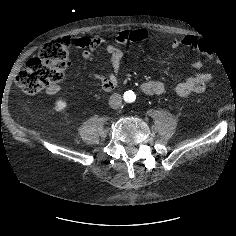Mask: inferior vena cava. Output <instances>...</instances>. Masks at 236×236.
I'll return each mask as SVG.
<instances>
[{
    "label": "inferior vena cava",
    "instance_id": "obj_1",
    "mask_svg": "<svg viewBox=\"0 0 236 236\" xmlns=\"http://www.w3.org/2000/svg\"><path fill=\"white\" fill-rule=\"evenodd\" d=\"M122 104V97L118 93H114L110 96L109 98V105L113 109H117L121 106Z\"/></svg>",
    "mask_w": 236,
    "mask_h": 236
}]
</instances>
